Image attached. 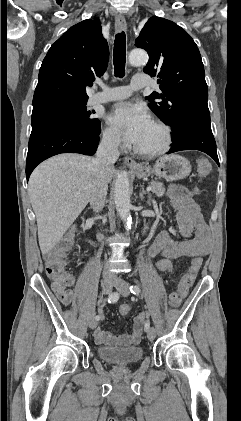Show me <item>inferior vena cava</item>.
<instances>
[{
	"label": "inferior vena cava",
	"mask_w": 241,
	"mask_h": 421,
	"mask_svg": "<svg viewBox=\"0 0 241 421\" xmlns=\"http://www.w3.org/2000/svg\"><path fill=\"white\" fill-rule=\"evenodd\" d=\"M119 138L114 135L104 136L98 146L94 165V182L91 188L90 205L94 212L98 213L105 205L108 190L107 171L119 158ZM105 278H111L112 274L103 271Z\"/></svg>",
	"instance_id": "obj_1"
}]
</instances>
